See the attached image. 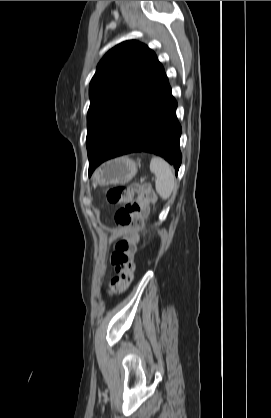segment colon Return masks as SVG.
I'll return each mask as SVG.
<instances>
[{"label":"colon","instance_id":"1","mask_svg":"<svg viewBox=\"0 0 271 418\" xmlns=\"http://www.w3.org/2000/svg\"><path fill=\"white\" fill-rule=\"evenodd\" d=\"M155 198L154 191L146 183H136L132 186L118 185L107 191L108 201L120 205L115 213L116 224L120 228L129 230V233L116 243L111 257L118 274L112 280L115 291L125 290L133 280L138 230Z\"/></svg>","mask_w":271,"mask_h":418}]
</instances>
